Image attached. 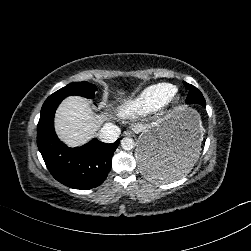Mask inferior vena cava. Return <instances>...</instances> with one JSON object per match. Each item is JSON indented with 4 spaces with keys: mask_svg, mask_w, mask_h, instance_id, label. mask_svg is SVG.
Returning a JSON list of instances; mask_svg holds the SVG:
<instances>
[{
    "mask_svg": "<svg viewBox=\"0 0 251 251\" xmlns=\"http://www.w3.org/2000/svg\"><path fill=\"white\" fill-rule=\"evenodd\" d=\"M120 134V128L109 122L105 123L101 128L99 132V138L105 143H113L118 139Z\"/></svg>",
    "mask_w": 251,
    "mask_h": 251,
    "instance_id": "obj_1",
    "label": "inferior vena cava"
}]
</instances>
